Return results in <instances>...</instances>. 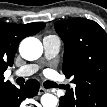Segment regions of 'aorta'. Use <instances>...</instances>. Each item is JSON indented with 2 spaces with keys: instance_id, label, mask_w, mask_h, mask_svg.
<instances>
[{
  "instance_id": "aorta-1",
  "label": "aorta",
  "mask_w": 107,
  "mask_h": 107,
  "mask_svg": "<svg viewBox=\"0 0 107 107\" xmlns=\"http://www.w3.org/2000/svg\"><path fill=\"white\" fill-rule=\"evenodd\" d=\"M19 52L25 60L33 61L38 59L43 53L42 43L34 37L25 38L19 47ZM43 107H56L58 99L53 94H43L41 97Z\"/></svg>"
}]
</instances>
